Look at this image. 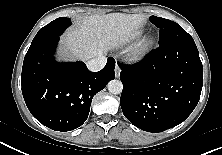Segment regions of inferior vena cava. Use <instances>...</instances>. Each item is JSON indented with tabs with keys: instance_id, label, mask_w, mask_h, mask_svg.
Listing matches in <instances>:
<instances>
[{
	"instance_id": "602c4592",
	"label": "inferior vena cava",
	"mask_w": 222,
	"mask_h": 155,
	"mask_svg": "<svg viewBox=\"0 0 222 155\" xmlns=\"http://www.w3.org/2000/svg\"><path fill=\"white\" fill-rule=\"evenodd\" d=\"M107 58L103 55H99L86 63L87 68L90 71H100L106 64Z\"/></svg>"
}]
</instances>
